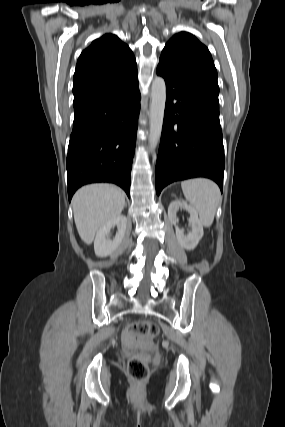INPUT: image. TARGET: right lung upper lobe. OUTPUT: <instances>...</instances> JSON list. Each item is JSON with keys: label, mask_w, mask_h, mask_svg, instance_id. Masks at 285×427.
Wrapping results in <instances>:
<instances>
[{"label": "right lung upper lobe", "mask_w": 285, "mask_h": 427, "mask_svg": "<svg viewBox=\"0 0 285 427\" xmlns=\"http://www.w3.org/2000/svg\"><path fill=\"white\" fill-rule=\"evenodd\" d=\"M137 74L136 59L116 35L96 39L80 55L73 78V103Z\"/></svg>", "instance_id": "cb5924a9"}]
</instances>
